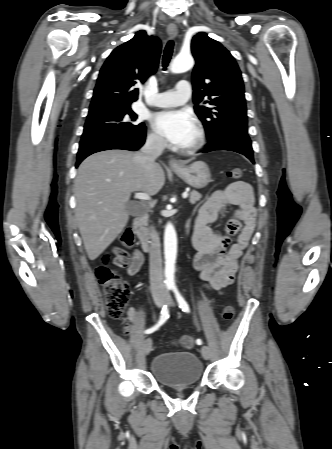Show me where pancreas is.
<instances>
[{"label": "pancreas", "instance_id": "pancreas-1", "mask_svg": "<svg viewBox=\"0 0 332 449\" xmlns=\"http://www.w3.org/2000/svg\"><path fill=\"white\" fill-rule=\"evenodd\" d=\"M202 195L197 192V191H192L190 193V203L191 204H195L196 202H198L201 199Z\"/></svg>", "mask_w": 332, "mask_h": 449}]
</instances>
